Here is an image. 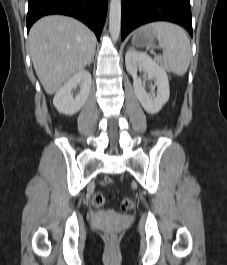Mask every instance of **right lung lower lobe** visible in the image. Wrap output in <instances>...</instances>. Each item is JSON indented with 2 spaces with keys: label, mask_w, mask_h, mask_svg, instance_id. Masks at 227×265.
I'll return each mask as SVG.
<instances>
[{
  "label": "right lung lower lobe",
  "mask_w": 227,
  "mask_h": 265,
  "mask_svg": "<svg viewBox=\"0 0 227 265\" xmlns=\"http://www.w3.org/2000/svg\"><path fill=\"white\" fill-rule=\"evenodd\" d=\"M27 31L40 17L64 14L75 17L100 38L107 12V0H28Z\"/></svg>",
  "instance_id": "1"
}]
</instances>
